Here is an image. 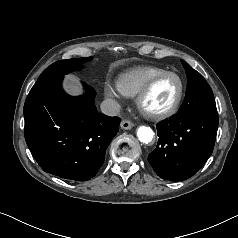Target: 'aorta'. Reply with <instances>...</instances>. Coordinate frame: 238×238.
<instances>
[{
    "label": "aorta",
    "mask_w": 238,
    "mask_h": 238,
    "mask_svg": "<svg viewBox=\"0 0 238 238\" xmlns=\"http://www.w3.org/2000/svg\"><path fill=\"white\" fill-rule=\"evenodd\" d=\"M137 137L140 142L148 144L153 140L154 132L148 126H140L137 129Z\"/></svg>",
    "instance_id": "1"
}]
</instances>
